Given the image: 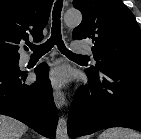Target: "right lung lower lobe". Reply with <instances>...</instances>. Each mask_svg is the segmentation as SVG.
I'll use <instances>...</instances> for the list:
<instances>
[{
    "label": "right lung lower lobe",
    "instance_id": "1",
    "mask_svg": "<svg viewBox=\"0 0 141 139\" xmlns=\"http://www.w3.org/2000/svg\"><path fill=\"white\" fill-rule=\"evenodd\" d=\"M35 72L37 82L31 85L24 83L26 72H0V114L13 117L54 139L58 116L46 64L39 65Z\"/></svg>",
    "mask_w": 141,
    "mask_h": 139
}]
</instances>
